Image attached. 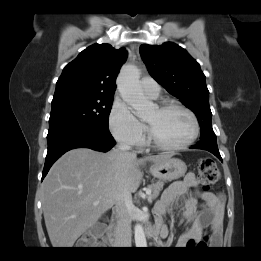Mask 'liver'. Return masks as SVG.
Listing matches in <instances>:
<instances>
[{
  "label": "liver",
  "instance_id": "1",
  "mask_svg": "<svg viewBox=\"0 0 261 261\" xmlns=\"http://www.w3.org/2000/svg\"><path fill=\"white\" fill-rule=\"evenodd\" d=\"M172 154L141 159L113 149L88 148L66 152L51 167L42 184L45 225L55 248H71L115 204L123 191L134 193L142 180L139 166L161 162Z\"/></svg>",
  "mask_w": 261,
  "mask_h": 261
}]
</instances>
